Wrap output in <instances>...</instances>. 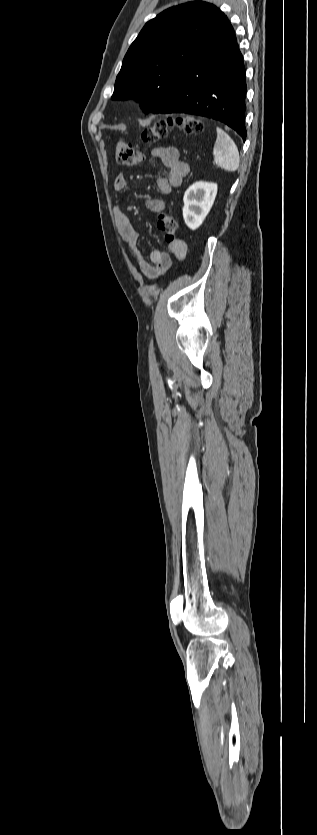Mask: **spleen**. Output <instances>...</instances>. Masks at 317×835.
<instances>
[{
	"label": "spleen",
	"instance_id": "obj_1",
	"mask_svg": "<svg viewBox=\"0 0 317 835\" xmlns=\"http://www.w3.org/2000/svg\"><path fill=\"white\" fill-rule=\"evenodd\" d=\"M217 138L213 147L215 164L228 172H234L239 167L240 157L236 144L221 128L216 127Z\"/></svg>",
	"mask_w": 317,
	"mask_h": 835
}]
</instances>
